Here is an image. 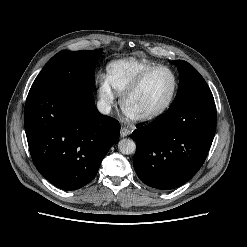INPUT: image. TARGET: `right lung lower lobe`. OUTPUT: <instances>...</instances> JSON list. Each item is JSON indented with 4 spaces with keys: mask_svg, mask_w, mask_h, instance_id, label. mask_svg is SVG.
I'll return each mask as SVG.
<instances>
[{
    "mask_svg": "<svg viewBox=\"0 0 247 247\" xmlns=\"http://www.w3.org/2000/svg\"><path fill=\"white\" fill-rule=\"evenodd\" d=\"M24 126L37 170L63 190L88 184L120 136L119 122L97 110L93 92L75 89L29 94Z\"/></svg>",
    "mask_w": 247,
    "mask_h": 247,
    "instance_id": "1",
    "label": "right lung lower lobe"
}]
</instances>
